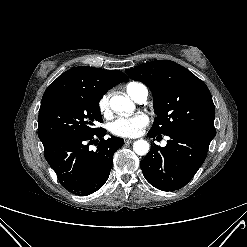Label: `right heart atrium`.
Here are the masks:
<instances>
[{"label": "right heart atrium", "instance_id": "d8ad5b80", "mask_svg": "<svg viewBox=\"0 0 247 247\" xmlns=\"http://www.w3.org/2000/svg\"><path fill=\"white\" fill-rule=\"evenodd\" d=\"M109 99L110 95L106 93L98 101V109L102 115H108L110 112Z\"/></svg>", "mask_w": 247, "mask_h": 247}]
</instances>
